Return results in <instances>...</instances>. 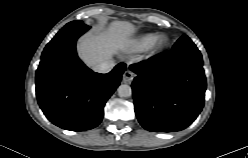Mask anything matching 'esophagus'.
Returning a JSON list of instances; mask_svg holds the SVG:
<instances>
[{"instance_id":"1","label":"esophagus","mask_w":248,"mask_h":158,"mask_svg":"<svg viewBox=\"0 0 248 158\" xmlns=\"http://www.w3.org/2000/svg\"><path fill=\"white\" fill-rule=\"evenodd\" d=\"M134 77H135V74L131 70L128 69L123 73L122 79H123V82L125 83H131Z\"/></svg>"}]
</instances>
